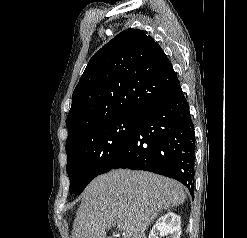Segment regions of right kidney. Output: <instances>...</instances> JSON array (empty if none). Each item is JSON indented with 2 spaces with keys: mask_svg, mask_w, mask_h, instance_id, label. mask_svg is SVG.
Returning <instances> with one entry per match:
<instances>
[{
  "mask_svg": "<svg viewBox=\"0 0 247 238\" xmlns=\"http://www.w3.org/2000/svg\"><path fill=\"white\" fill-rule=\"evenodd\" d=\"M170 235V238H180L181 218L173 212H167L161 216L152 227L148 238Z\"/></svg>",
  "mask_w": 247,
  "mask_h": 238,
  "instance_id": "1",
  "label": "right kidney"
}]
</instances>
